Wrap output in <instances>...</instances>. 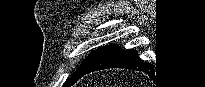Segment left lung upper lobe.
<instances>
[{
  "instance_id": "5c2ea615",
  "label": "left lung upper lobe",
  "mask_w": 205,
  "mask_h": 87,
  "mask_svg": "<svg viewBox=\"0 0 205 87\" xmlns=\"http://www.w3.org/2000/svg\"><path fill=\"white\" fill-rule=\"evenodd\" d=\"M100 49L93 51L92 53H90L89 57L87 58V60L79 67V69H77V71L63 84V87H70L72 86L74 83H76V81H78L81 73L92 63V61L94 60L95 56L97 55V53L99 52Z\"/></svg>"
}]
</instances>
